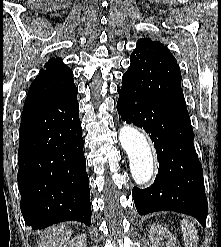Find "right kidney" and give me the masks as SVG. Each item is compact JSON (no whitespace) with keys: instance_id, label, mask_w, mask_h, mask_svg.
Wrapping results in <instances>:
<instances>
[{"instance_id":"right-kidney-1","label":"right kidney","mask_w":221,"mask_h":247,"mask_svg":"<svg viewBox=\"0 0 221 247\" xmlns=\"http://www.w3.org/2000/svg\"><path fill=\"white\" fill-rule=\"evenodd\" d=\"M64 247H87V240L85 234H79L72 238Z\"/></svg>"}]
</instances>
